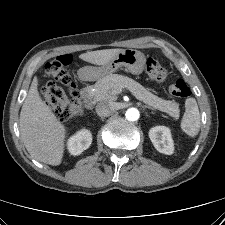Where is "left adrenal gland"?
<instances>
[{
  "label": "left adrenal gland",
  "instance_id": "left-adrenal-gland-1",
  "mask_svg": "<svg viewBox=\"0 0 225 225\" xmlns=\"http://www.w3.org/2000/svg\"><path fill=\"white\" fill-rule=\"evenodd\" d=\"M142 107H143V108H148V109H152L151 107H149V106H146V105H143Z\"/></svg>",
  "mask_w": 225,
  "mask_h": 225
}]
</instances>
